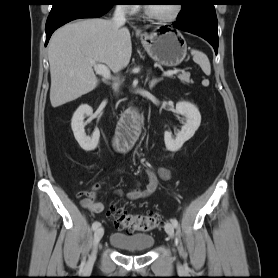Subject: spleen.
<instances>
[{
  "instance_id": "1",
  "label": "spleen",
  "mask_w": 278,
  "mask_h": 278,
  "mask_svg": "<svg viewBox=\"0 0 278 278\" xmlns=\"http://www.w3.org/2000/svg\"><path fill=\"white\" fill-rule=\"evenodd\" d=\"M191 54L193 55V60L201 67L203 72L206 75L211 74V66L208 57L201 51L191 50Z\"/></svg>"
}]
</instances>
